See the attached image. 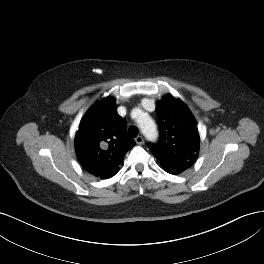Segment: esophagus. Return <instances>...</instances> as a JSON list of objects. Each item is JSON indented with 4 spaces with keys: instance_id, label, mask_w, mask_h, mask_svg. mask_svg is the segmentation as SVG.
I'll use <instances>...</instances> for the list:
<instances>
[{
    "instance_id": "obj_1",
    "label": "esophagus",
    "mask_w": 264,
    "mask_h": 264,
    "mask_svg": "<svg viewBox=\"0 0 264 264\" xmlns=\"http://www.w3.org/2000/svg\"><path fill=\"white\" fill-rule=\"evenodd\" d=\"M135 142H136L137 144H139V145H142V144L144 143V139H143L142 136H137V137L135 138Z\"/></svg>"
}]
</instances>
